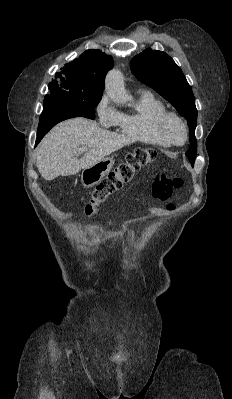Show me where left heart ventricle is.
Wrapping results in <instances>:
<instances>
[{
  "mask_svg": "<svg viewBox=\"0 0 232 399\" xmlns=\"http://www.w3.org/2000/svg\"><path fill=\"white\" fill-rule=\"evenodd\" d=\"M169 135L178 143L185 140V131L182 125L175 119H169L166 124Z\"/></svg>",
  "mask_w": 232,
  "mask_h": 399,
  "instance_id": "b2bd125f",
  "label": "left heart ventricle"
}]
</instances>
